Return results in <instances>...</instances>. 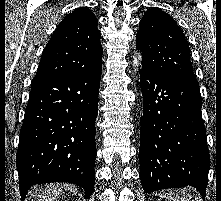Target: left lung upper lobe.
<instances>
[{
	"label": "left lung upper lobe",
	"mask_w": 221,
	"mask_h": 201,
	"mask_svg": "<svg viewBox=\"0 0 221 201\" xmlns=\"http://www.w3.org/2000/svg\"><path fill=\"white\" fill-rule=\"evenodd\" d=\"M136 35L142 67L154 74L197 85L184 33L167 13L152 8L145 12Z\"/></svg>",
	"instance_id": "obj_1"
}]
</instances>
